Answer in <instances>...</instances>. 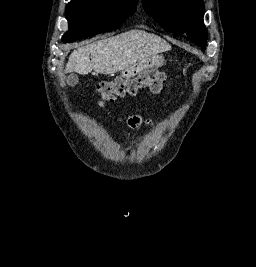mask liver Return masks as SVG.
I'll return each instance as SVG.
<instances>
[{
    "label": "liver",
    "instance_id": "liver-1",
    "mask_svg": "<svg viewBox=\"0 0 256 267\" xmlns=\"http://www.w3.org/2000/svg\"><path fill=\"white\" fill-rule=\"evenodd\" d=\"M168 50H171V46L159 36L142 30H130L108 40H99L89 46L77 48L70 54L65 72H76L82 76L90 74L92 70L93 76L116 74Z\"/></svg>",
    "mask_w": 256,
    "mask_h": 267
}]
</instances>
